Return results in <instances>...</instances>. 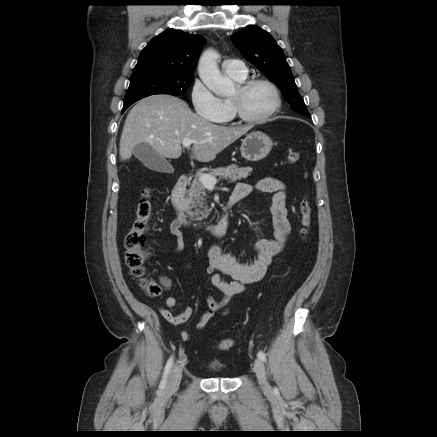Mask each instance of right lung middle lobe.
<instances>
[{"label": "right lung middle lobe", "instance_id": "dd1d6c3e", "mask_svg": "<svg viewBox=\"0 0 437 437\" xmlns=\"http://www.w3.org/2000/svg\"><path fill=\"white\" fill-rule=\"evenodd\" d=\"M192 81L193 75H171L155 69L133 72L125 95L122 113L134 102L150 95H184Z\"/></svg>", "mask_w": 437, "mask_h": 437}]
</instances>
